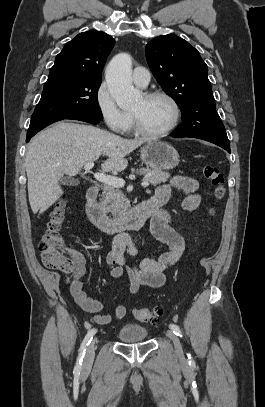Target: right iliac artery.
Wrapping results in <instances>:
<instances>
[{"label": "right iliac artery", "mask_w": 265, "mask_h": 407, "mask_svg": "<svg viewBox=\"0 0 265 407\" xmlns=\"http://www.w3.org/2000/svg\"><path fill=\"white\" fill-rule=\"evenodd\" d=\"M95 333H96V329H91V330L87 333V335L85 336V338H84V340H83V342H82V344H81V346H80V349H79L78 359H77V362H76V366H75V368H74V371H75V372H79V371H80L81 365H82V361H83V358H84V355H85V352H86V348H87V346L90 344V342L92 341L93 336H94Z\"/></svg>", "instance_id": "1"}]
</instances>
